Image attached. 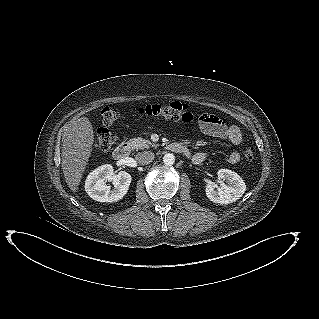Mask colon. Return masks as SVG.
<instances>
[{
	"label": "colon",
	"instance_id": "colon-1",
	"mask_svg": "<svg viewBox=\"0 0 319 319\" xmlns=\"http://www.w3.org/2000/svg\"><path fill=\"white\" fill-rule=\"evenodd\" d=\"M139 114L151 117L165 118L175 121L191 122L199 118L202 120L205 114L198 115L193 112L188 105L181 102H171L167 104H150L139 108ZM120 110L115 106H107L102 110L103 123L111 125L118 120ZM118 140V134L106 127L97 129L95 133V145L100 150L110 149ZM242 157L251 162L255 153L251 146H245L241 150Z\"/></svg>",
	"mask_w": 319,
	"mask_h": 319
}]
</instances>
